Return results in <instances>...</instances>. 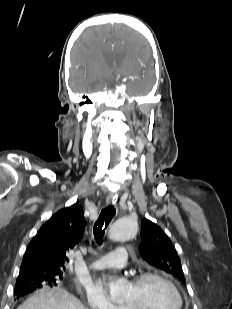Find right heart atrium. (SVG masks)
I'll return each instance as SVG.
<instances>
[{"mask_svg": "<svg viewBox=\"0 0 232 309\" xmlns=\"http://www.w3.org/2000/svg\"><path fill=\"white\" fill-rule=\"evenodd\" d=\"M86 301L92 309H122L114 304L105 293L96 286H90L86 290Z\"/></svg>", "mask_w": 232, "mask_h": 309, "instance_id": "right-heart-atrium-1", "label": "right heart atrium"}]
</instances>
